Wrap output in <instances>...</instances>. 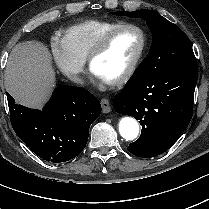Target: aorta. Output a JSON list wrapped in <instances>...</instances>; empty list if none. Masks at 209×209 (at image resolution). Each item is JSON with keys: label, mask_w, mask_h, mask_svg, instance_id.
<instances>
[{"label": "aorta", "mask_w": 209, "mask_h": 209, "mask_svg": "<svg viewBox=\"0 0 209 209\" xmlns=\"http://www.w3.org/2000/svg\"><path fill=\"white\" fill-rule=\"evenodd\" d=\"M119 133L126 140H134L139 134V124L132 117H123L119 121Z\"/></svg>", "instance_id": "762f6f07"}]
</instances>
